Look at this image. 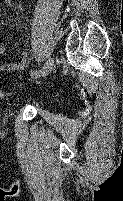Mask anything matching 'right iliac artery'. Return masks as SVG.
<instances>
[{"mask_svg":"<svg viewBox=\"0 0 123 201\" xmlns=\"http://www.w3.org/2000/svg\"><path fill=\"white\" fill-rule=\"evenodd\" d=\"M41 70H34L31 72V77L37 78L41 74Z\"/></svg>","mask_w":123,"mask_h":201,"instance_id":"82829eb1","label":"right iliac artery"}]
</instances>
